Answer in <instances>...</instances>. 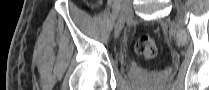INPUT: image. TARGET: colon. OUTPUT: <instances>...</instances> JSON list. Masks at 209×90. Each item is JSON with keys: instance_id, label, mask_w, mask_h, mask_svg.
Returning a JSON list of instances; mask_svg holds the SVG:
<instances>
[{"instance_id": "1", "label": "colon", "mask_w": 209, "mask_h": 90, "mask_svg": "<svg viewBox=\"0 0 209 90\" xmlns=\"http://www.w3.org/2000/svg\"><path fill=\"white\" fill-rule=\"evenodd\" d=\"M134 47L136 52L145 59H153L158 52L156 42L148 35H134Z\"/></svg>"}]
</instances>
